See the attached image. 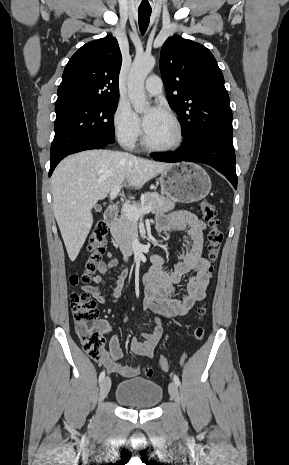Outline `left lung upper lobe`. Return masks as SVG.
I'll return each instance as SVG.
<instances>
[{
    "label": "left lung upper lobe",
    "instance_id": "obj_1",
    "mask_svg": "<svg viewBox=\"0 0 289 465\" xmlns=\"http://www.w3.org/2000/svg\"><path fill=\"white\" fill-rule=\"evenodd\" d=\"M162 79L171 108L182 121L183 146L201 137L232 144V110L224 77L204 46L172 36L160 53Z\"/></svg>",
    "mask_w": 289,
    "mask_h": 465
}]
</instances>
